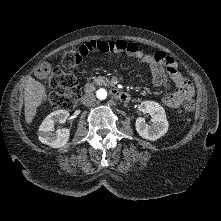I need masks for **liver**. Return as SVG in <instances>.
<instances>
[{
	"label": "liver",
	"mask_w": 221,
	"mask_h": 221,
	"mask_svg": "<svg viewBox=\"0 0 221 221\" xmlns=\"http://www.w3.org/2000/svg\"><path fill=\"white\" fill-rule=\"evenodd\" d=\"M45 97V86L32 77H28L24 88V114L28 124L34 119L37 108L42 104Z\"/></svg>",
	"instance_id": "liver-1"
}]
</instances>
